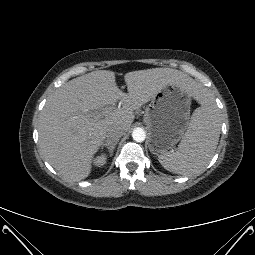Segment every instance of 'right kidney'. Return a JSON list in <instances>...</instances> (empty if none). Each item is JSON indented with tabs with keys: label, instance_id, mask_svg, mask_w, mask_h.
I'll return each mask as SVG.
<instances>
[{
	"label": "right kidney",
	"instance_id": "1",
	"mask_svg": "<svg viewBox=\"0 0 255 255\" xmlns=\"http://www.w3.org/2000/svg\"><path fill=\"white\" fill-rule=\"evenodd\" d=\"M107 161V158L105 157V155H101L98 156L95 160H94V164L98 167L103 166Z\"/></svg>",
	"mask_w": 255,
	"mask_h": 255
}]
</instances>
